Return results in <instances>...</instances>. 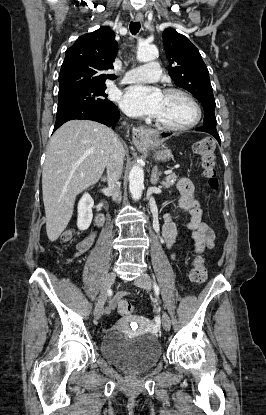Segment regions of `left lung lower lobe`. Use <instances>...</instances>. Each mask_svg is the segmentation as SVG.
Instances as JSON below:
<instances>
[{
	"label": "left lung lower lobe",
	"mask_w": 266,
	"mask_h": 415,
	"mask_svg": "<svg viewBox=\"0 0 266 415\" xmlns=\"http://www.w3.org/2000/svg\"><path fill=\"white\" fill-rule=\"evenodd\" d=\"M164 137L169 136L170 133H163L162 134ZM217 141L220 142V137H216Z\"/></svg>",
	"instance_id": "left-lung-lower-lobe-1"
}]
</instances>
